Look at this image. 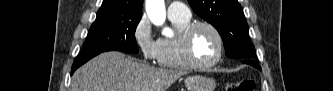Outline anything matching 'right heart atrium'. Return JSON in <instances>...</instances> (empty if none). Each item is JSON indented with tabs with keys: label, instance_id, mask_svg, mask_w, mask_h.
<instances>
[{
	"label": "right heart atrium",
	"instance_id": "1",
	"mask_svg": "<svg viewBox=\"0 0 333 91\" xmlns=\"http://www.w3.org/2000/svg\"><path fill=\"white\" fill-rule=\"evenodd\" d=\"M132 36L142 57L147 61H155L158 40L154 38L150 22L145 16L141 17L135 24Z\"/></svg>",
	"mask_w": 333,
	"mask_h": 91
}]
</instances>
